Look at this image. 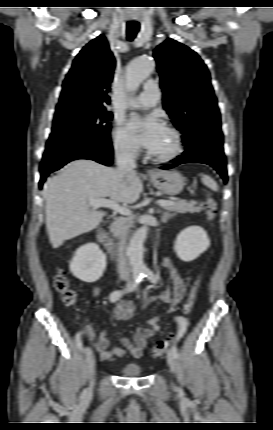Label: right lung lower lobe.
I'll return each mask as SVG.
<instances>
[{
    "label": "right lung lower lobe",
    "mask_w": 273,
    "mask_h": 430,
    "mask_svg": "<svg viewBox=\"0 0 273 430\" xmlns=\"http://www.w3.org/2000/svg\"><path fill=\"white\" fill-rule=\"evenodd\" d=\"M113 158L112 147L97 148L86 147L68 151L48 159H43L40 166L41 179L39 181V188H42L46 177L53 171L60 169L66 163L76 159H91L103 165L110 166Z\"/></svg>",
    "instance_id": "98d812e1"
}]
</instances>
